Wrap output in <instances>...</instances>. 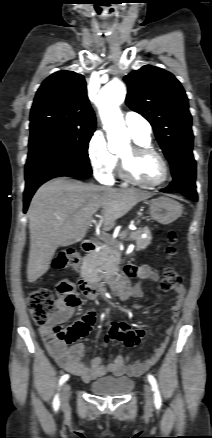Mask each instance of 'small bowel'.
Instances as JSON below:
<instances>
[{
    "instance_id": "small-bowel-1",
    "label": "small bowel",
    "mask_w": 212,
    "mask_h": 438,
    "mask_svg": "<svg viewBox=\"0 0 212 438\" xmlns=\"http://www.w3.org/2000/svg\"><path fill=\"white\" fill-rule=\"evenodd\" d=\"M133 277L140 278V281L131 286L128 283V278ZM158 279V272L147 265H128L125 267L123 276L119 282L118 296L122 301H128L131 298L141 299L145 296V291L142 288V282H155ZM63 286H72V284L68 280H62L57 285V291ZM175 294V302L171 308L172 324L166 330L167 337L155 348L154 355L145 361H131L129 359L125 360L122 355L118 354L115 359L108 364H103L102 358L97 356L91 360L89 365H86L81 361L84 351V345L82 343L70 345L71 343L58 340L55 334L52 332L51 324L47 326H41L39 332L48 350L58 364L72 375L80 377L84 382H90L106 374H113L115 376H139L145 373L158 361L167 347L169 341L168 336L173 332V325L178 319L179 312L183 304L185 296L184 286L179 285L175 290ZM79 305L80 301H78L76 304H67L64 302V300L59 299L52 323L61 324L67 322L69 319H71L75 309ZM158 309L159 308L157 307L154 311L157 312ZM95 320L96 313L93 310H89L79 321L85 323V325L88 327V331H90L95 323ZM144 335L145 331L142 328L131 330L127 323L113 321L108 324L107 334L104 342L105 344L120 342L126 347H133L140 343Z\"/></svg>"
}]
</instances>
